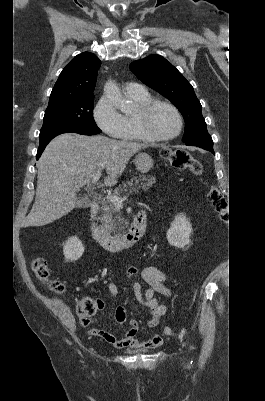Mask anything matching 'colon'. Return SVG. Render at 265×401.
Here are the masks:
<instances>
[{
    "label": "colon",
    "mask_w": 265,
    "mask_h": 401,
    "mask_svg": "<svg viewBox=\"0 0 265 401\" xmlns=\"http://www.w3.org/2000/svg\"><path fill=\"white\" fill-rule=\"evenodd\" d=\"M163 156L176 169H189L195 175H199L202 172L201 163L184 150L167 149L163 151ZM208 200L221 219L224 220L228 217L229 205L227 199L215 186L210 188ZM32 269L36 276L43 281L51 291L55 293H62L64 291V284L62 282L50 278L47 262L43 258H35L32 262ZM195 296L196 290L194 291L193 299H195ZM101 306V301L92 297H84L77 305V315L83 320L88 319L93 316L97 310L101 309ZM163 332L166 335H171L173 330L170 327H166Z\"/></svg>",
    "instance_id": "1"
}]
</instances>
